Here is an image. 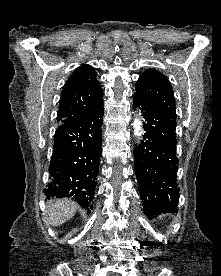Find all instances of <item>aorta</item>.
Returning <instances> with one entry per match:
<instances>
[{
    "label": "aorta",
    "mask_w": 221,
    "mask_h": 276,
    "mask_svg": "<svg viewBox=\"0 0 221 276\" xmlns=\"http://www.w3.org/2000/svg\"><path fill=\"white\" fill-rule=\"evenodd\" d=\"M141 126H142V123L138 119H134L133 128H134L135 136L141 135Z\"/></svg>",
    "instance_id": "762f6f07"
}]
</instances>
